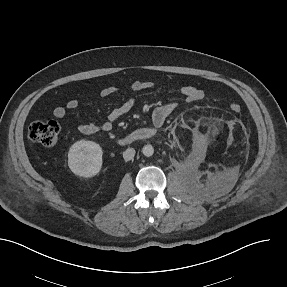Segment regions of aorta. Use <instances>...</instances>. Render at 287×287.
<instances>
[{"mask_svg": "<svg viewBox=\"0 0 287 287\" xmlns=\"http://www.w3.org/2000/svg\"><path fill=\"white\" fill-rule=\"evenodd\" d=\"M142 153L146 156V157H150L153 155L154 153V148L152 147V145H145L142 149Z\"/></svg>", "mask_w": 287, "mask_h": 287, "instance_id": "762f6f07", "label": "aorta"}]
</instances>
